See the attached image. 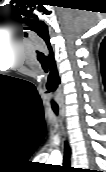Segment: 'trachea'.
I'll use <instances>...</instances> for the list:
<instances>
[{
	"mask_svg": "<svg viewBox=\"0 0 106 172\" xmlns=\"http://www.w3.org/2000/svg\"><path fill=\"white\" fill-rule=\"evenodd\" d=\"M53 111H54V113H55L56 115L58 114V108L53 107ZM64 164H65L66 166L69 165V156H68L67 151H65V153H64Z\"/></svg>",
	"mask_w": 106,
	"mask_h": 172,
	"instance_id": "3493384b",
	"label": "trachea"
}]
</instances>
